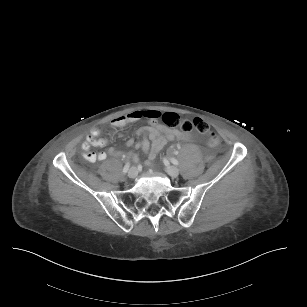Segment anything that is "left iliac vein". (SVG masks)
<instances>
[{
  "label": "left iliac vein",
  "mask_w": 307,
  "mask_h": 307,
  "mask_svg": "<svg viewBox=\"0 0 307 307\" xmlns=\"http://www.w3.org/2000/svg\"><path fill=\"white\" fill-rule=\"evenodd\" d=\"M167 173L173 178H176L179 175V170L175 166H169L167 167Z\"/></svg>",
  "instance_id": "obj_1"
}]
</instances>
